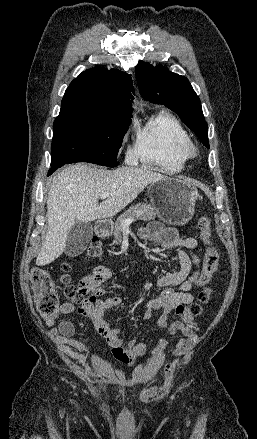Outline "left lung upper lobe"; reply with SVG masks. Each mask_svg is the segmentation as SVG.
Instances as JSON below:
<instances>
[{
  "mask_svg": "<svg viewBox=\"0 0 257 439\" xmlns=\"http://www.w3.org/2000/svg\"><path fill=\"white\" fill-rule=\"evenodd\" d=\"M135 71L142 97L149 102L163 104L177 113L209 148L208 126L203 116L200 99L188 79L169 72L165 67H153L143 61L139 62Z\"/></svg>",
  "mask_w": 257,
  "mask_h": 439,
  "instance_id": "5c2ea615",
  "label": "left lung upper lobe"
}]
</instances>
